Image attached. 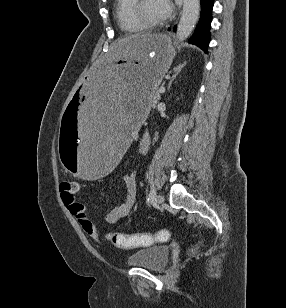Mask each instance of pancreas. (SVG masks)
<instances>
[{
  "label": "pancreas",
  "mask_w": 286,
  "mask_h": 308,
  "mask_svg": "<svg viewBox=\"0 0 286 308\" xmlns=\"http://www.w3.org/2000/svg\"><path fill=\"white\" fill-rule=\"evenodd\" d=\"M160 99V92L158 89L155 90L154 95L152 97L150 106H155V104L157 103V101Z\"/></svg>",
  "instance_id": "pancreas-1"
}]
</instances>
